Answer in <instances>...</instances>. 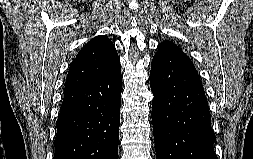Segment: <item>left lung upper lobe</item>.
<instances>
[{"label": "left lung upper lobe", "instance_id": "left-lung-upper-lobe-1", "mask_svg": "<svg viewBox=\"0 0 253 159\" xmlns=\"http://www.w3.org/2000/svg\"><path fill=\"white\" fill-rule=\"evenodd\" d=\"M157 52H162V53H180L184 54L181 49H179L178 46H176L173 42L170 41H164L161 42L158 45V51Z\"/></svg>", "mask_w": 253, "mask_h": 159}]
</instances>
